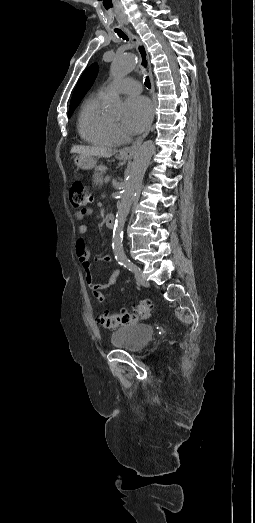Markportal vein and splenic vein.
I'll list each match as a JSON object with an SVG mask.
<instances>
[{
	"label": "portal vein and splenic vein",
	"mask_w": 255,
	"mask_h": 523,
	"mask_svg": "<svg viewBox=\"0 0 255 523\" xmlns=\"http://www.w3.org/2000/svg\"><path fill=\"white\" fill-rule=\"evenodd\" d=\"M113 173H107V176L104 179V184H109L110 181H112Z\"/></svg>",
	"instance_id": "portal-vein-and-splenic-vein-1"
}]
</instances>
